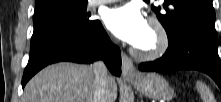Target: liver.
<instances>
[{"mask_svg": "<svg viewBox=\"0 0 221 102\" xmlns=\"http://www.w3.org/2000/svg\"><path fill=\"white\" fill-rule=\"evenodd\" d=\"M93 66L60 62L47 66L27 84L22 102H93ZM108 98L115 102L117 84L110 76Z\"/></svg>", "mask_w": 221, "mask_h": 102, "instance_id": "1", "label": "liver"}]
</instances>
